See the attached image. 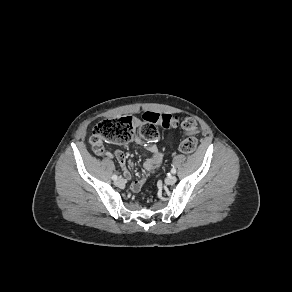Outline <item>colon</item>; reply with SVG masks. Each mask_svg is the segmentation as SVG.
I'll return each instance as SVG.
<instances>
[{
	"label": "colon",
	"mask_w": 292,
	"mask_h": 292,
	"mask_svg": "<svg viewBox=\"0 0 292 292\" xmlns=\"http://www.w3.org/2000/svg\"><path fill=\"white\" fill-rule=\"evenodd\" d=\"M159 125L163 127L180 125L185 135L180 144V150L183 153H192L196 150L198 141L195 135L198 132V125L193 118L186 117L180 121L176 117L153 112H145L142 115L139 127L135 126L132 117L103 120L95 126L90 142L94 152L101 155L104 152V142L128 143L136 131L148 141L157 140Z\"/></svg>",
	"instance_id": "5ec220e1"
}]
</instances>
